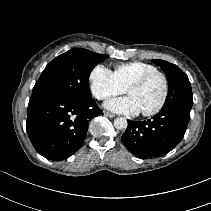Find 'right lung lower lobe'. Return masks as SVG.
<instances>
[{
	"mask_svg": "<svg viewBox=\"0 0 211 211\" xmlns=\"http://www.w3.org/2000/svg\"><path fill=\"white\" fill-rule=\"evenodd\" d=\"M102 114L92 98L77 101L54 94L31 95L27 133L40 155L62 161L82 146L89 121Z\"/></svg>",
	"mask_w": 211,
	"mask_h": 211,
	"instance_id": "1",
	"label": "right lung lower lobe"
}]
</instances>
